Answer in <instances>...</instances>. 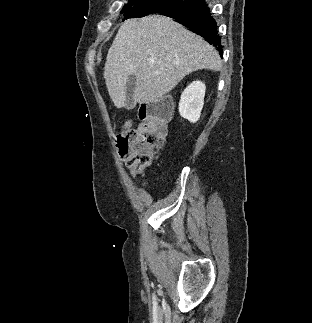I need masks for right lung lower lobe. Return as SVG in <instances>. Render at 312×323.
I'll return each instance as SVG.
<instances>
[{
  "instance_id": "obj_1",
  "label": "right lung lower lobe",
  "mask_w": 312,
  "mask_h": 323,
  "mask_svg": "<svg viewBox=\"0 0 312 323\" xmlns=\"http://www.w3.org/2000/svg\"><path fill=\"white\" fill-rule=\"evenodd\" d=\"M163 15L174 18L178 23L188 27L196 34L204 37L223 56L221 37L211 10L205 0H193L170 13Z\"/></svg>"
}]
</instances>
